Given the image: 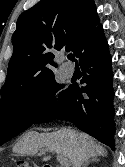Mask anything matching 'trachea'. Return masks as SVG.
Returning a JSON list of instances; mask_svg holds the SVG:
<instances>
[{
	"mask_svg": "<svg viewBox=\"0 0 125 167\" xmlns=\"http://www.w3.org/2000/svg\"><path fill=\"white\" fill-rule=\"evenodd\" d=\"M67 57H68L69 60L75 61L76 64H77V60L75 59L73 54H69Z\"/></svg>",
	"mask_w": 125,
	"mask_h": 167,
	"instance_id": "obj_1",
	"label": "trachea"
}]
</instances>
